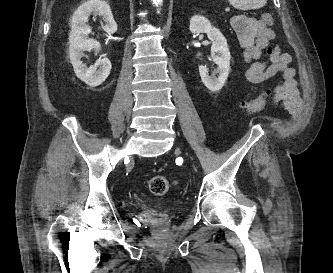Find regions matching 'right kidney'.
<instances>
[{"instance_id": "ca27d5eb", "label": "right kidney", "mask_w": 333, "mask_h": 273, "mask_svg": "<svg viewBox=\"0 0 333 273\" xmlns=\"http://www.w3.org/2000/svg\"><path fill=\"white\" fill-rule=\"evenodd\" d=\"M99 15L105 22L102 29L113 34L117 31V24L113 18L110 6L102 0H88L78 7L72 16L71 32L69 35V56L74 71L78 78L91 87L101 85L109 76L112 65L109 59L102 58L89 68L82 63L83 52L94 49L96 52L101 50V45L89 39L92 29L86 23L89 16ZM99 67V70L97 68Z\"/></svg>"}]
</instances>
